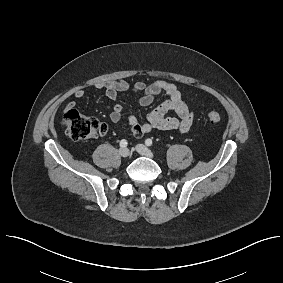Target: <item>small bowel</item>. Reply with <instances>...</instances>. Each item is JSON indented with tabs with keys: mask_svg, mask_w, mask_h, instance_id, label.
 I'll use <instances>...</instances> for the list:
<instances>
[{
	"mask_svg": "<svg viewBox=\"0 0 283 283\" xmlns=\"http://www.w3.org/2000/svg\"><path fill=\"white\" fill-rule=\"evenodd\" d=\"M103 89L109 99L115 100L120 92L127 91L130 84L126 80L110 81L96 86ZM133 91L140 95L139 103L141 106H150L160 95L167 98L153 108L148 114L146 121L140 123L136 116L130 115L127 118L131 133L135 137H141L154 129L159 130H176L180 133H186L192 127L194 115L183 99L182 91L173 83L156 80L152 83L142 81L136 82ZM76 98H83L85 91L78 89L74 92ZM75 107L73 102L66 105V109ZM174 112L175 116L169 115ZM123 114V107L120 104L113 106L109 119L113 123H118Z\"/></svg>",
	"mask_w": 283,
	"mask_h": 283,
	"instance_id": "obj_1",
	"label": "small bowel"
}]
</instances>
